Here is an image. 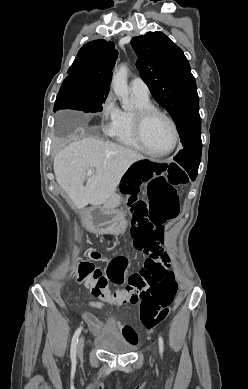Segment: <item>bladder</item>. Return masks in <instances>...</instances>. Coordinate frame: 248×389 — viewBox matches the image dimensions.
Returning a JSON list of instances; mask_svg holds the SVG:
<instances>
[{
  "label": "bladder",
  "mask_w": 248,
  "mask_h": 389,
  "mask_svg": "<svg viewBox=\"0 0 248 389\" xmlns=\"http://www.w3.org/2000/svg\"><path fill=\"white\" fill-rule=\"evenodd\" d=\"M94 343L103 351L115 355H127L136 348L135 344L129 342L124 337L107 335L104 332H97L94 335Z\"/></svg>",
  "instance_id": "bladder-1"
}]
</instances>
